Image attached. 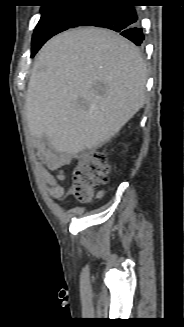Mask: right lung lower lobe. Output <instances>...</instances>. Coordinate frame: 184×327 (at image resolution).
<instances>
[{
	"label": "right lung lower lobe",
	"mask_w": 184,
	"mask_h": 327,
	"mask_svg": "<svg viewBox=\"0 0 184 327\" xmlns=\"http://www.w3.org/2000/svg\"><path fill=\"white\" fill-rule=\"evenodd\" d=\"M125 0H96L72 26H95L111 29L140 46L144 40L137 11Z\"/></svg>",
	"instance_id": "obj_1"
}]
</instances>
